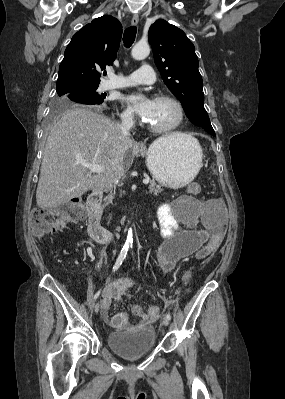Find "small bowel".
Segmentation results:
<instances>
[{
  "label": "small bowel",
  "mask_w": 285,
  "mask_h": 399,
  "mask_svg": "<svg viewBox=\"0 0 285 399\" xmlns=\"http://www.w3.org/2000/svg\"><path fill=\"white\" fill-rule=\"evenodd\" d=\"M182 216L183 218H180L174 214L168 203L161 204L157 210L163 241L158 247L156 259L164 273L170 272L180 259L193 253L196 257L203 258L200 253L201 247L208 240L222 239L224 235L225 210L218 199L209 200L203 205L193 203L183 210ZM136 283L135 279L118 276L105 289L100 313L103 321L110 327L120 330L132 329L128 313L118 312L110 315V307L113 302L127 297L128 290ZM145 321L143 319L142 324Z\"/></svg>",
  "instance_id": "c3829d8e"
}]
</instances>
